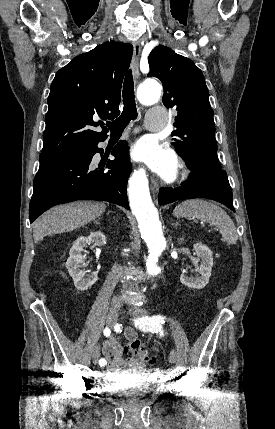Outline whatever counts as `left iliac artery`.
<instances>
[{
  "mask_svg": "<svg viewBox=\"0 0 275 429\" xmlns=\"http://www.w3.org/2000/svg\"><path fill=\"white\" fill-rule=\"evenodd\" d=\"M165 317L161 315H154L151 317H144L136 320V325L143 331H155L160 324L165 322Z\"/></svg>",
  "mask_w": 275,
  "mask_h": 429,
  "instance_id": "left-iliac-artery-1",
  "label": "left iliac artery"
}]
</instances>
